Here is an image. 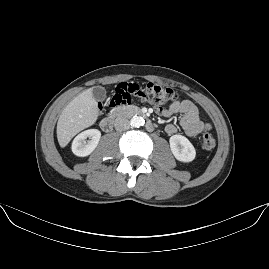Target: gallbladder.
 <instances>
[{
    "mask_svg": "<svg viewBox=\"0 0 269 269\" xmlns=\"http://www.w3.org/2000/svg\"><path fill=\"white\" fill-rule=\"evenodd\" d=\"M93 92L96 98H103L105 96V90L101 87H94Z\"/></svg>",
    "mask_w": 269,
    "mask_h": 269,
    "instance_id": "bac80fb5",
    "label": "gallbladder"
}]
</instances>
